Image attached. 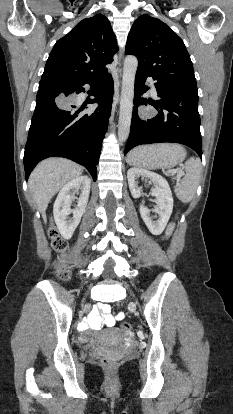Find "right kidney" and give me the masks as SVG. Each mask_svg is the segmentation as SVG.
<instances>
[{"label": "right kidney", "instance_id": "1", "mask_svg": "<svg viewBox=\"0 0 233 414\" xmlns=\"http://www.w3.org/2000/svg\"><path fill=\"white\" fill-rule=\"evenodd\" d=\"M91 180L87 176H79L69 181L60 190L53 207L55 223L65 239H70L80 223L81 217L85 212ZM81 190V194L77 199L75 193ZM77 199V207L71 209L72 201ZM72 218H69L70 214Z\"/></svg>", "mask_w": 233, "mask_h": 414}]
</instances>
